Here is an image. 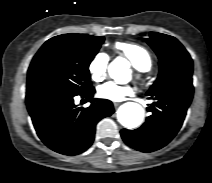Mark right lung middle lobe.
<instances>
[{"label": "right lung middle lobe", "mask_w": 212, "mask_h": 183, "mask_svg": "<svg viewBox=\"0 0 212 183\" xmlns=\"http://www.w3.org/2000/svg\"><path fill=\"white\" fill-rule=\"evenodd\" d=\"M104 42L102 36L63 34L44 43L28 69L27 88L47 86L84 92L91 87L89 64Z\"/></svg>", "instance_id": "obj_1"}]
</instances>
